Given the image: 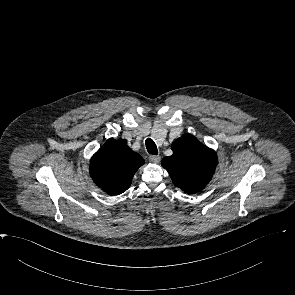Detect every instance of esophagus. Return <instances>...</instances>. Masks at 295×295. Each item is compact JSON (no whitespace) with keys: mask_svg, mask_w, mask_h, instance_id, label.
Returning <instances> with one entry per match:
<instances>
[{"mask_svg":"<svg viewBox=\"0 0 295 295\" xmlns=\"http://www.w3.org/2000/svg\"><path fill=\"white\" fill-rule=\"evenodd\" d=\"M161 157L159 155H150L149 161L152 163H159Z\"/></svg>","mask_w":295,"mask_h":295,"instance_id":"esophagus-1","label":"esophagus"}]
</instances>
